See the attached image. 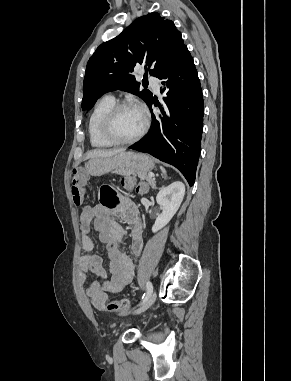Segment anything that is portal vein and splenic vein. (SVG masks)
Segmentation results:
<instances>
[{
    "instance_id": "portal-vein-and-splenic-vein-1",
    "label": "portal vein and splenic vein",
    "mask_w": 291,
    "mask_h": 381,
    "mask_svg": "<svg viewBox=\"0 0 291 381\" xmlns=\"http://www.w3.org/2000/svg\"><path fill=\"white\" fill-rule=\"evenodd\" d=\"M148 176L152 178V177H154V174L153 173H149Z\"/></svg>"
}]
</instances>
